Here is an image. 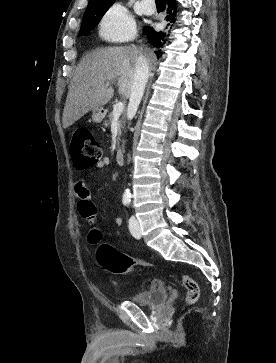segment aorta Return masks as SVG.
<instances>
[{
  "instance_id": "762f6f07",
  "label": "aorta",
  "mask_w": 276,
  "mask_h": 363,
  "mask_svg": "<svg viewBox=\"0 0 276 363\" xmlns=\"http://www.w3.org/2000/svg\"><path fill=\"white\" fill-rule=\"evenodd\" d=\"M131 198V193H130V190L129 189H126L124 194H123V199L124 200H130Z\"/></svg>"
}]
</instances>
